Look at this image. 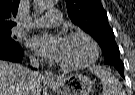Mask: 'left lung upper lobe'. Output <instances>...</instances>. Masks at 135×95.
<instances>
[{
  "label": "left lung upper lobe",
  "mask_w": 135,
  "mask_h": 95,
  "mask_svg": "<svg viewBox=\"0 0 135 95\" xmlns=\"http://www.w3.org/2000/svg\"><path fill=\"white\" fill-rule=\"evenodd\" d=\"M72 22L90 34L102 48L105 63L124 67L107 14L100 0H66Z\"/></svg>",
  "instance_id": "5c2ea615"
}]
</instances>
